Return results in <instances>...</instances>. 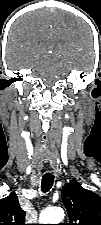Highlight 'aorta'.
Wrapping results in <instances>:
<instances>
[{"mask_svg":"<svg viewBox=\"0 0 101 225\" xmlns=\"http://www.w3.org/2000/svg\"><path fill=\"white\" fill-rule=\"evenodd\" d=\"M64 218V211L60 207H50L42 211L40 224H59Z\"/></svg>","mask_w":101,"mask_h":225,"instance_id":"obj_1","label":"aorta"}]
</instances>
